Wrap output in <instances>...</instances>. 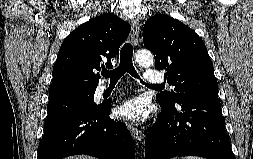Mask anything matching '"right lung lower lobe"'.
I'll use <instances>...</instances> for the list:
<instances>
[{
    "instance_id": "98d812e1",
    "label": "right lung lower lobe",
    "mask_w": 253,
    "mask_h": 159,
    "mask_svg": "<svg viewBox=\"0 0 253 159\" xmlns=\"http://www.w3.org/2000/svg\"><path fill=\"white\" fill-rule=\"evenodd\" d=\"M111 101L74 111L45 128L37 159L86 154L100 159H134L126 125L109 118Z\"/></svg>"
}]
</instances>
